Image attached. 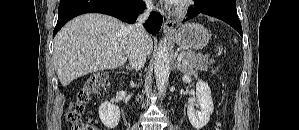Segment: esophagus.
I'll return each mask as SVG.
<instances>
[{
  "mask_svg": "<svg viewBox=\"0 0 299 130\" xmlns=\"http://www.w3.org/2000/svg\"><path fill=\"white\" fill-rule=\"evenodd\" d=\"M175 21L172 19H167L163 24V32L165 34H170L173 31Z\"/></svg>",
  "mask_w": 299,
  "mask_h": 130,
  "instance_id": "obj_1",
  "label": "esophagus"
}]
</instances>
